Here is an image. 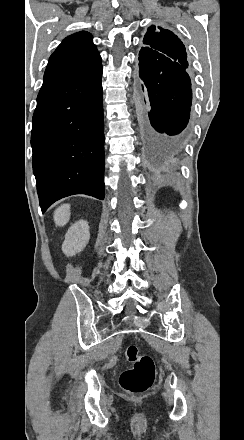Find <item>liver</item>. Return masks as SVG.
<instances>
[{
  "label": "liver",
  "mask_w": 244,
  "mask_h": 440,
  "mask_svg": "<svg viewBox=\"0 0 244 440\" xmlns=\"http://www.w3.org/2000/svg\"><path fill=\"white\" fill-rule=\"evenodd\" d=\"M54 222L56 226H65L70 220V206L69 204H63L60 208H57L54 212Z\"/></svg>",
  "instance_id": "liver-1"
}]
</instances>
